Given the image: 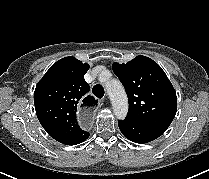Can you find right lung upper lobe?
Returning <instances> with one entry per match:
<instances>
[{"mask_svg":"<svg viewBox=\"0 0 209 179\" xmlns=\"http://www.w3.org/2000/svg\"><path fill=\"white\" fill-rule=\"evenodd\" d=\"M90 68L69 56L54 63L36 85L34 103L37 117L55 140L72 145L86 132L76 119L77 108L90 109L97 100L88 95L84 75Z\"/></svg>","mask_w":209,"mask_h":179,"instance_id":"obj_1","label":"right lung upper lobe"}]
</instances>
